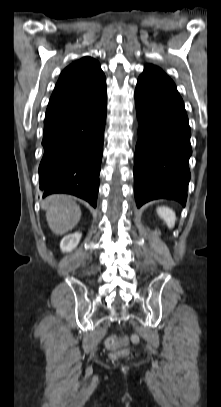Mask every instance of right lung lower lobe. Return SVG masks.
<instances>
[{
    "label": "right lung lower lobe",
    "instance_id": "obj_1",
    "mask_svg": "<svg viewBox=\"0 0 221 407\" xmlns=\"http://www.w3.org/2000/svg\"><path fill=\"white\" fill-rule=\"evenodd\" d=\"M106 112V88L86 100L46 111L39 166L43 197L68 193L96 207Z\"/></svg>",
    "mask_w": 221,
    "mask_h": 407
}]
</instances>
